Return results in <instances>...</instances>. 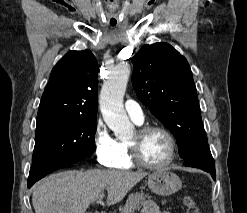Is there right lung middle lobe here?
I'll list each match as a JSON object with an SVG mask.
<instances>
[{
    "instance_id": "1",
    "label": "right lung middle lobe",
    "mask_w": 247,
    "mask_h": 213,
    "mask_svg": "<svg viewBox=\"0 0 247 213\" xmlns=\"http://www.w3.org/2000/svg\"><path fill=\"white\" fill-rule=\"evenodd\" d=\"M96 118L50 116L37 119L29 178L41 179L95 151Z\"/></svg>"
}]
</instances>
